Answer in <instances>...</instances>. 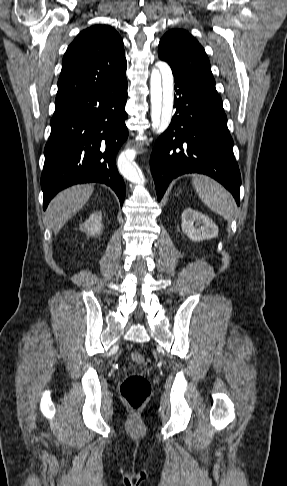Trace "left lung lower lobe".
Listing matches in <instances>:
<instances>
[{
    "mask_svg": "<svg viewBox=\"0 0 287 486\" xmlns=\"http://www.w3.org/2000/svg\"><path fill=\"white\" fill-rule=\"evenodd\" d=\"M173 75L176 112L150 158L158 200L172 179L202 173L223 184L239 205L241 178L222 100L187 77Z\"/></svg>",
    "mask_w": 287,
    "mask_h": 486,
    "instance_id": "obj_1",
    "label": "left lung lower lobe"
}]
</instances>
